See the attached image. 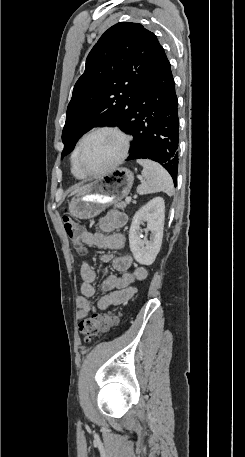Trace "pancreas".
Returning <instances> with one entry per match:
<instances>
[{
	"mask_svg": "<svg viewBox=\"0 0 245 457\" xmlns=\"http://www.w3.org/2000/svg\"><path fill=\"white\" fill-rule=\"evenodd\" d=\"M114 206H117V208H122V210H124L125 206H127L128 202H125V200H121V202H119V200H117V202H113Z\"/></svg>",
	"mask_w": 245,
	"mask_h": 457,
	"instance_id": "pancreas-1",
	"label": "pancreas"
}]
</instances>
